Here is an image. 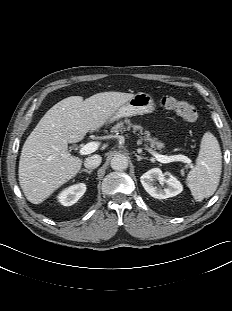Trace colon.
<instances>
[{
    "mask_svg": "<svg viewBox=\"0 0 232 311\" xmlns=\"http://www.w3.org/2000/svg\"><path fill=\"white\" fill-rule=\"evenodd\" d=\"M158 103L164 109L172 111L186 122H196L199 117L197 108L188 101L178 100L171 96H161Z\"/></svg>",
    "mask_w": 232,
    "mask_h": 311,
    "instance_id": "1",
    "label": "colon"
}]
</instances>
